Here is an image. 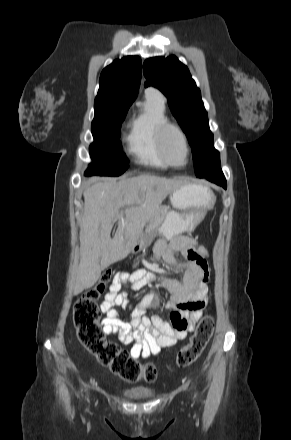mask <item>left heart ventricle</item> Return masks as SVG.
<instances>
[{
    "mask_svg": "<svg viewBox=\"0 0 291 440\" xmlns=\"http://www.w3.org/2000/svg\"><path fill=\"white\" fill-rule=\"evenodd\" d=\"M166 151L172 162L176 164L184 163L186 159L185 148L180 136L174 131L167 134Z\"/></svg>",
    "mask_w": 291,
    "mask_h": 440,
    "instance_id": "b2bd125f",
    "label": "left heart ventricle"
}]
</instances>
